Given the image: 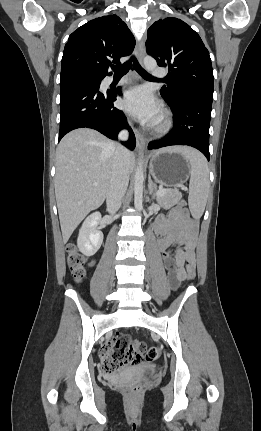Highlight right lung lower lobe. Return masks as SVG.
<instances>
[{
  "mask_svg": "<svg viewBox=\"0 0 261 431\" xmlns=\"http://www.w3.org/2000/svg\"><path fill=\"white\" fill-rule=\"evenodd\" d=\"M99 87L100 85L89 79L60 81L58 141L65 134L77 128H92L114 140L117 139V135L122 129H127L130 138L123 144L133 150L136 145L135 135L128 126L124 113L113 105L117 94L121 95L120 89L113 92H101Z\"/></svg>",
  "mask_w": 261,
  "mask_h": 431,
  "instance_id": "right-lung-lower-lobe-1",
  "label": "right lung lower lobe"
}]
</instances>
